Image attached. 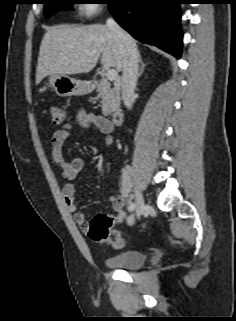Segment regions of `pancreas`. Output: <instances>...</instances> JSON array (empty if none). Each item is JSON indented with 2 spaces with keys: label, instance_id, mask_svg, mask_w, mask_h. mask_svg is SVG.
<instances>
[{
  "label": "pancreas",
  "instance_id": "pancreas-1",
  "mask_svg": "<svg viewBox=\"0 0 236 321\" xmlns=\"http://www.w3.org/2000/svg\"><path fill=\"white\" fill-rule=\"evenodd\" d=\"M98 97L101 98L102 113L109 115L120 107L119 89L111 87L107 79H102L98 87Z\"/></svg>",
  "mask_w": 236,
  "mask_h": 321
}]
</instances>
